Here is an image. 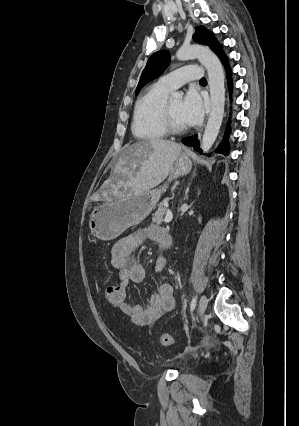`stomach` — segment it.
I'll use <instances>...</instances> for the list:
<instances>
[{
	"mask_svg": "<svg viewBox=\"0 0 299 426\" xmlns=\"http://www.w3.org/2000/svg\"><path fill=\"white\" fill-rule=\"evenodd\" d=\"M192 161L186 153L178 156L168 182L190 172ZM168 183L157 189L132 193L95 207L90 215L89 228L97 239L109 241L127 228L141 223L156 207Z\"/></svg>",
	"mask_w": 299,
	"mask_h": 426,
	"instance_id": "0dacf381",
	"label": "stomach"
}]
</instances>
